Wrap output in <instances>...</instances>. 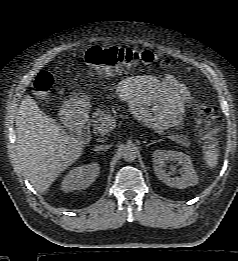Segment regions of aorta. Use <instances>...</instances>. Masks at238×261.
Wrapping results in <instances>:
<instances>
[{
  "label": "aorta",
  "instance_id": "1",
  "mask_svg": "<svg viewBox=\"0 0 238 261\" xmlns=\"http://www.w3.org/2000/svg\"><path fill=\"white\" fill-rule=\"evenodd\" d=\"M121 154L125 161L133 162L137 157V148L134 145H125Z\"/></svg>",
  "mask_w": 238,
  "mask_h": 261
}]
</instances>
